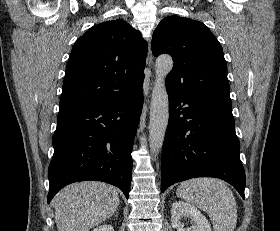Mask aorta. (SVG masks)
Listing matches in <instances>:
<instances>
[{"label":"aorta","instance_id":"762f6f07","mask_svg":"<svg viewBox=\"0 0 280 231\" xmlns=\"http://www.w3.org/2000/svg\"><path fill=\"white\" fill-rule=\"evenodd\" d=\"M173 68L171 56L163 54L155 62V82L152 90L149 143L152 155L159 153L168 125L169 100L166 92L165 78Z\"/></svg>","mask_w":280,"mask_h":231}]
</instances>
